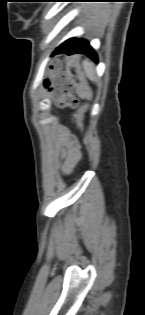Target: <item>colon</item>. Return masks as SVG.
<instances>
[{
	"instance_id": "obj_1",
	"label": "colon",
	"mask_w": 145,
	"mask_h": 315,
	"mask_svg": "<svg viewBox=\"0 0 145 315\" xmlns=\"http://www.w3.org/2000/svg\"><path fill=\"white\" fill-rule=\"evenodd\" d=\"M46 85L54 89L58 94V102L62 106H76L77 100L71 95L74 87L82 97H89V91L81 78V71L76 59H72L67 66V74H64L56 64L50 66ZM83 111L78 113L81 120Z\"/></svg>"
}]
</instances>
